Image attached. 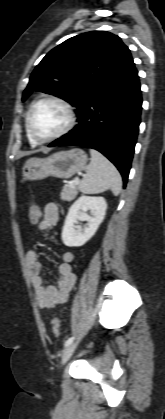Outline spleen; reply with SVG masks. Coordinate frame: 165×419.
<instances>
[{"label": "spleen", "instance_id": "obj_1", "mask_svg": "<svg viewBox=\"0 0 165 419\" xmlns=\"http://www.w3.org/2000/svg\"><path fill=\"white\" fill-rule=\"evenodd\" d=\"M91 162L80 182L79 188L85 194H98L111 189L117 196L122 189V179L116 167L100 152L90 149Z\"/></svg>", "mask_w": 165, "mask_h": 419}]
</instances>
